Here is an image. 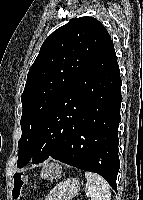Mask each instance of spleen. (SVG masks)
<instances>
[{
	"label": "spleen",
	"instance_id": "obj_1",
	"mask_svg": "<svg viewBox=\"0 0 143 200\" xmlns=\"http://www.w3.org/2000/svg\"><path fill=\"white\" fill-rule=\"evenodd\" d=\"M86 196L91 200H111V191L107 181L96 173L85 172Z\"/></svg>",
	"mask_w": 143,
	"mask_h": 200
}]
</instances>
